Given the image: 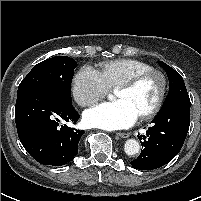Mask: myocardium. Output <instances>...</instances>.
<instances>
[{"instance_id": "obj_1", "label": "myocardium", "mask_w": 201, "mask_h": 201, "mask_svg": "<svg viewBox=\"0 0 201 201\" xmlns=\"http://www.w3.org/2000/svg\"><path fill=\"white\" fill-rule=\"evenodd\" d=\"M150 76L158 77L160 81L159 93L155 104L148 111L139 116L140 120L150 119L154 117L161 110L168 87V82L165 74L160 70L152 68L132 75L131 77L127 78L116 87V89H130L135 87L141 81Z\"/></svg>"}]
</instances>
